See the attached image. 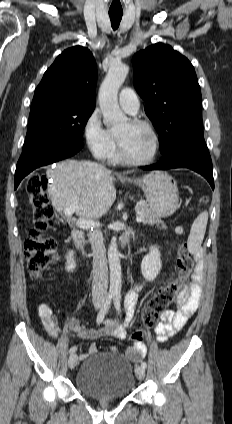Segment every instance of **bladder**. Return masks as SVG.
I'll list each match as a JSON object with an SVG mask.
<instances>
[{
    "label": "bladder",
    "instance_id": "31cf9c89",
    "mask_svg": "<svg viewBox=\"0 0 232 424\" xmlns=\"http://www.w3.org/2000/svg\"><path fill=\"white\" fill-rule=\"evenodd\" d=\"M134 385V367L119 353L86 358L76 376L77 389L92 398L121 399L130 394Z\"/></svg>",
    "mask_w": 232,
    "mask_h": 424
}]
</instances>
